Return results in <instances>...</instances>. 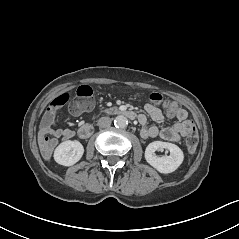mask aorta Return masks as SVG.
I'll return each instance as SVG.
<instances>
[{"instance_id":"obj_1","label":"aorta","mask_w":239,"mask_h":239,"mask_svg":"<svg viewBox=\"0 0 239 239\" xmlns=\"http://www.w3.org/2000/svg\"><path fill=\"white\" fill-rule=\"evenodd\" d=\"M114 125L118 128H125L128 125V119L124 115H118L114 119Z\"/></svg>"}]
</instances>
